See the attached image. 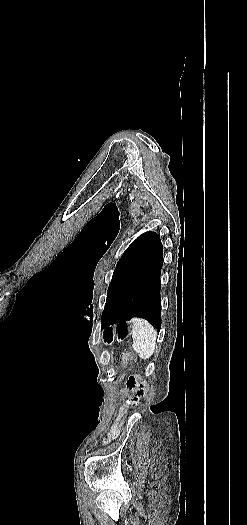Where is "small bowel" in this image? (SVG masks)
<instances>
[{"instance_id": "1", "label": "small bowel", "mask_w": 247, "mask_h": 525, "mask_svg": "<svg viewBox=\"0 0 247 525\" xmlns=\"http://www.w3.org/2000/svg\"><path fill=\"white\" fill-rule=\"evenodd\" d=\"M117 433V428H113L111 431V434L107 437V440H109L112 436H114Z\"/></svg>"}]
</instances>
